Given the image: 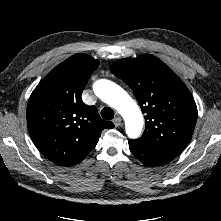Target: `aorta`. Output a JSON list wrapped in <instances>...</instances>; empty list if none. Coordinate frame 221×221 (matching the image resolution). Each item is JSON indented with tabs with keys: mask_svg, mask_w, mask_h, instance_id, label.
<instances>
[{
	"mask_svg": "<svg viewBox=\"0 0 221 221\" xmlns=\"http://www.w3.org/2000/svg\"><path fill=\"white\" fill-rule=\"evenodd\" d=\"M97 97L116 109L125 121L126 134L129 138H138L144 119L136 102L117 84L106 79L97 80L93 85Z\"/></svg>",
	"mask_w": 221,
	"mask_h": 221,
	"instance_id": "aorta-1",
	"label": "aorta"
}]
</instances>
